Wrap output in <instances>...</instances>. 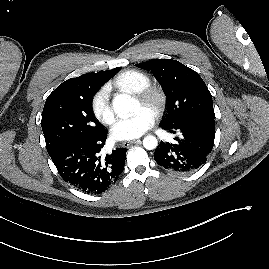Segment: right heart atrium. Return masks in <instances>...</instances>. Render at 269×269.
<instances>
[{
	"label": "right heart atrium",
	"instance_id": "d8ad5b80",
	"mask_svg": "<svg viewBox=\"0 0 269 269\" xmlns=\"http://www.w3.org/2000/svg\"><path fill=\"white\" fill-rule=\"evenodd\" d=\"M91 107L97 119L107 125L113 124L115 113L110 103L109 88L104 85L92 97Z\"/></svg>",
	"mask_w": 269,
	"mask_h": 269
}]
</instances>
